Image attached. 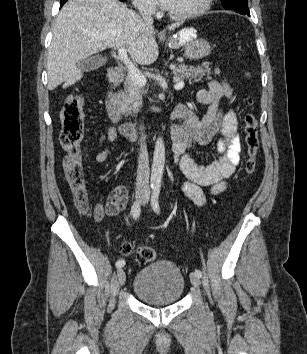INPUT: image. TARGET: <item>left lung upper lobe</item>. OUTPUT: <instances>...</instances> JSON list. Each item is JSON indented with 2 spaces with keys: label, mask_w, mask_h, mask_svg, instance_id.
Here are the masks:
<instances>
[{
  "label": "left lung upper lobe",
  "mask_w": 307,
  "mask_h": 354,
  "mask_svg": "<svg viewBox=\"0 0 307 354\" xmlns=\"http://www.w3.org/2000/svg\"><path fill=\"white\" fill-rule=\"evenodd\" d=\"M225 8L232 9L240 14L250 16L247 0H221Z\"/></svg>",
  "instance_id": "5c2ea615"
}]
</instances>
